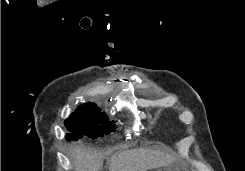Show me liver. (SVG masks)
<instances>
[{"instance_id":"obj_1","label":"liver","mask_w":245,"mask_h":171,"mask_svg":"<svg viewBox=\"0 0 245 171\" xmlns=\"http://www.w3.org/2000/svg\"><path fill=\"white\" fill-rule=\"evenodd\" d=\"M75 171H99L102 157L82 147L75 146L71 151ZM175 158L164 152L152 149H133L114 154L110 159V171H148L169 166Z\"/></svg>"}]
</instances>
